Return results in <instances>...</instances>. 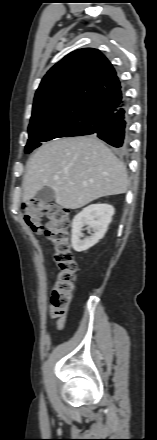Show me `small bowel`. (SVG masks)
<instances>
[{
    "label": "small bowel",
    "instance_id": "small-bowel-1",
    "mask_svg": "<svg viewBox=\"0 0 157 440\" xmlns=\"http://www.w3.org/2000/svg\"><path fill=\"white\" fill-rule=\"evenodd\" d=\"M49 317L53 318L56 317L51 311L49 312ZM66 323V318L65 317H61L58 321H57V327L59 329H62L65 326Z\"/></svg>",
    "mask_w": 157,
    "mask_h": 440
}]
</instances>
